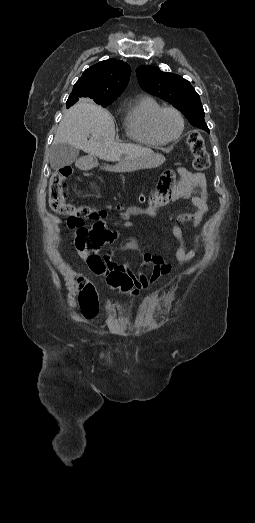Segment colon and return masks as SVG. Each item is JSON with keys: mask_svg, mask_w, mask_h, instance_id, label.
Listing matches in <instances>:
<instances>
[{"mask_svg": "<svg viewBox=\"0 0 255 523\" xmlns=\"http://www.w3.org/2000/svg\"><path fill=\"white\" fill-rule=\"evenodd\" d=\"M187 145L193 156V168L196 171L206 170L210 165L209 155L205 148L202 135L197 131L188 134ZM73 168L70 166L61 167L54 171L49 186V205L57 214L67 216L76 224H82L85 219L100 220L104 219L106 212L80 205L76 206L66 201L65 181L72 175ZM165 183V182H164ZM167 184H163L166 188ZM108 283L113 287H118L125 293H137L138 287L128 275L123 273L110 272L107 277ZM77 287L80 291L79 303L82 313L86 318H92L98 310L97 295L92 283L84 276L77 280Z\"/></svg>", "mask_w": 255, "mask_h": 523, "instance_id": "5ec220e1", "label": "colon"}]
</instances>
